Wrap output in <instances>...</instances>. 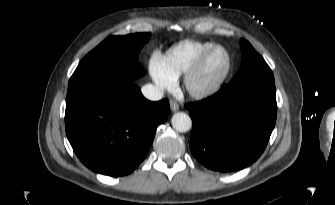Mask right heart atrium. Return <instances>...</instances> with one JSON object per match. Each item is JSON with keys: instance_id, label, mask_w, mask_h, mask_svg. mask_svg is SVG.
I'll list each match as a JSON object with an SVG mask.
<instances>
[{"instance_id": "obj_1", "label": "right heart atrium", "mask_w": 335, "mask_h": 205, "mask_svg": "<svg viewBox=\"0 0 335 205\" xmlns=\"http://www.w3.org/2000/svg\"><path fill=\"white\" fill-rule=\"evenodd\" d=\"M149 73L159 90H167L174 86L176 78L166 69L164 57L154 53L149 62Z\"/></svg>"}]
</instances>
